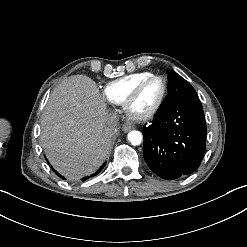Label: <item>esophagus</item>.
Instances as JSON below:
<instances>
[{"label": "esophagus", "mask_w": 247, "mask_h": 247, "mask_svg": "<svg viewBox=\"0 0 247 247\" xmlns=\"http://www.w3.org/2000/svg\"><path fill=\"white\" fill-rule=\"evenodd\" d=\"M134 128H135V126H134L133 124L129 123V122L124 123V124L122 125V130H123L124 132H129L130 130H132V129H134Z\"/></svg>", "instance_id": "obj_1"}]
</instances>
